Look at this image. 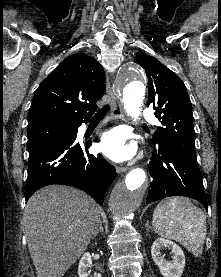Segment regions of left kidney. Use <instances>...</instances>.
Listing matches in <instances>:
<instances>
[{
	"label": "left kidney",
	"instance_id": "obj_1",
	"mask_svg": "<svg viewBox=\"0 0 221 277\" xmlns=\"http://www.w3.org/2000/svg\"><path fill=\"white\" fill-rule=\"evenodd\" d=\"M163 248H168L174 253L172 261L164 259V255L161 253ZM151 255L163 277H181L185 267V256L181 247L175 242L165 238H157L152 244Z\"/></svg>",
	"mask_w": 221,
	"mask_h": 277
}]
</instances>
